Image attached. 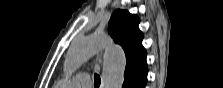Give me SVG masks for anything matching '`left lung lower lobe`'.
<instances>
[{"instance_id": "obj_1", "label": "left lung lower lobe", "mask_w": 223, "mask_h": 88, "mask_svg": "<svg viewBox=\"0 0 223 88\" xmlns=\"http://www.w3.org/2000/svg\"><path fill=\"white\" fill-rule=\"evenodd\" d=\"M147 72V64L125 70L122 88H145Z\"/></svg>"}]
</instances>
